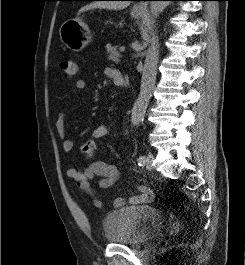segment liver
Returning <instances> with one entry per match:
<instances>
[{"instance_id":"obj_1","label":"liver","mask_w":245,"mask_h":265,"mask_svg":"<svg viewBox=\"0 0 245 265\" xmlns=\"http://www.w3.org/2000/svg\"><path fill=\"white\" fill-rule=\"evenodd\" d=\"M129 5L130 3L128 1H99V2L90 3L82 7L79 10L78 14L94 8L117 10V9H124Z\"/></svg>"}]
</instances>
